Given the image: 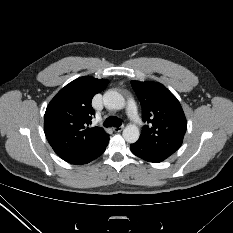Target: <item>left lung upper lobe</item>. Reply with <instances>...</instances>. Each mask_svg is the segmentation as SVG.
I'll use <instances>...</instances> for the list:
<instances>
[{
	"instance_id": "5c2ea615",
	"label": "left lung upper lobe",
	"mask_w": 233,
	"mask_h": 233,
	"mask_svg": "<svg viewBox=\"0 0 233 233\" xmlns=\"http://www.w3.org/2000/svg\"><path fill=\"white\" fill-rule=\"evenodd\" d=\"M142 106L144 125L139 140L149 147L173 154L182 144L187 128L183 109L177 98L157 82L131 81Z\"/></svg>"
}]
</instances>
